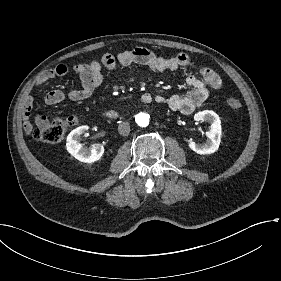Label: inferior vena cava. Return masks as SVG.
<instances>
[{
  "mask_svg": "<svg viewBox=\"0 0 281 281\" xmlns=\"http://www.w3.org/2000/svg\"><path fill=\"white\" fill-rule=\"evenodd\" d=\"M118 132L120 135L122 136H127L130 132V127H129V124L128 123H120L118 125Z\"/></svg>",
  "mask_w": 281,
  "mask_h": 281,
  "instance_id": "inferior-vena-cava-1",
  "label": "inferior vena cava"
}]
</instances>
